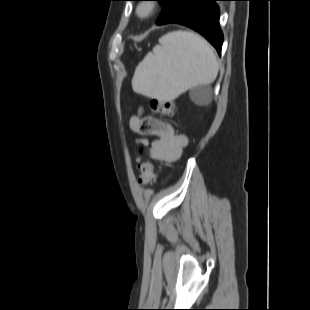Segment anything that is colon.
Listing matches in <instances>:
<instances>
[{
  "label": "colon",
  "mask_w": 310,
  "mask_h": 310,
  "mask_svg": "<svg viewBox=\"0 0 310 310\" xmlns=\"http://www.w3.org/2000/svg\"><path fill=\"white\" fill-rule=\"evenodd\" d=\"M150 107L153 113L161 116H172L174 114V103L169 100L153 99L150 103ZM147 151L146 147L141 149L142 154ZM155 179V167L152 161L145 158L140 165L139 182L142 185H149Z\"/></svg>",
  "instance_id": "5ec220e1"
}]
</instances>
